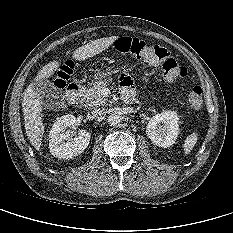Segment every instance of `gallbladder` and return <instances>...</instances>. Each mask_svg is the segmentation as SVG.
I'll return each mask as SVG.
<instances>
[{"label": "gallbladder", "instance_id": "gallbladder-1", "mask_svg": "<svg viewBox=\"0 0 233 233\" xmlns=\"http://www.w3.org/2000/svg\"><path fill=\"white\" fill-rule=\"evenodd\" d=\"M34 90L40 95L43 105L47 108H60L64 104L63 94L49 80L37 81Z\"/></svg>", "mask_w": 233, "mask_h": 233}]
</instances>
